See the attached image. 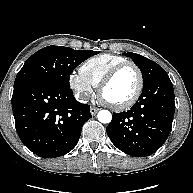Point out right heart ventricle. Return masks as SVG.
Returning <instances> with one entry per match:
<instances>
[{"label":"right heart ventricle","instance_id":"obj_1","mask_svg":"<svg viewBox=\"0 0 193 193\" xmlns=\"http://www.w3.org/2000/svg\"><path fill=\"white\" fill-rule=\"evenodd\" d=\"M125 62H128V60L119 55L107 53L100 54L85 60L81 64L80 72L96 87L110 70Z\"/></svg>","mask_w":193,"mask_h":193}]
</instances>
